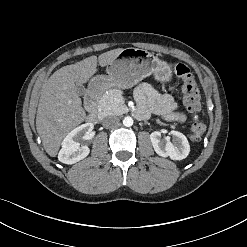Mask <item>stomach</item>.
I'll return each mask as SVG.
<instances>
[{"instance_id": "obj_1", "label": "stomach", "mask_w": 247, "mask_h": 247, "mask_svg": "<svg viewBox=\"0 0 247 247\" xmlns=\"http://www.w3.org/2000/svg\"><path fill=\"white\" fill-rule=\"evenodd\" d=\"M107 75L92 78L91 84L102 89L131 88L142 79L154 75L160 82H168L172 72L168 64L144 49L126 48L106 68Z\"/></svg>"}]
</instances>
